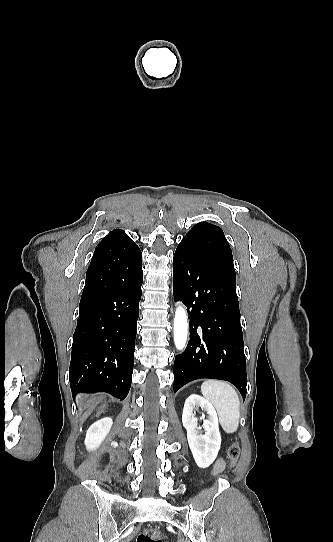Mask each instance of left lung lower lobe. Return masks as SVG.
Here are the masks:
<instances>
[{
  "label": "left lung lower lobe",
  "mask_w": 333,
  "mask_h": 542,
  "mask_svg": "<svg viewBox=\"0 0 333 542\" xmlns=\"http://www.w3.org/2000/svg\"><path fill=\"white\" fill-rule=\"evenodd\" d=\"M173 293L190 315V340L174 362V392L190 381L212 378L229 381L244 399L246 360L235 271L207 262L179 244Z\"/></svg>",
  "instance_id": "0a47b994"
}]
</instances>
